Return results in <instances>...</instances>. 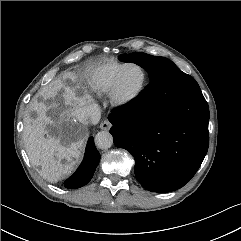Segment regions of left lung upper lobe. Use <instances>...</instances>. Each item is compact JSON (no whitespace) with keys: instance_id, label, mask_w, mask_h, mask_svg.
I'll return each mask as SVG.
<instances>
[{"instance_id":"5c2ea615","label":"left lung upper lobe","mask_w":241,"mask_h":241,"mask_svg":"<svg viewBox=\"0 0 241 241\" xmlns=\"http://www.w3.org/2000/svg\"><path fill=\"white\" fill-rule=\"evenodd\" d=\"M123 62H134L146 69L149 78H163L168 85L172 99H180L190 93L200 91L196 80L182 72L172 61L164 57H156L145 53L123 54L119 57Z\"/></svg>"}]
</instances>
